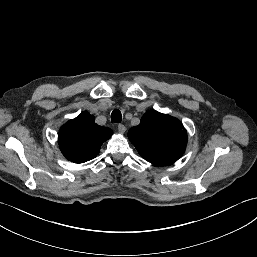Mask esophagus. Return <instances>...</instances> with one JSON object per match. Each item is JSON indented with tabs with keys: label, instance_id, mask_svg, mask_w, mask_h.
Here are the masks:
<instances>
[{
	"label": "esophagus",
	"instance_id": "34e87169",
	"mask_svg": "<svg viewBox=\"0 0 257 257\" xmlns=\"http://www.w3.org/2000/svg\"><path fill=\"white\" fill-rule=\"evenodd\" d=\"M118 131H119L120 134H123L126 131V127L123 124H119L118 125Z\"/></svg>",
	"mask_w": 257,
	"mask_h": 257
}]
</instances>
